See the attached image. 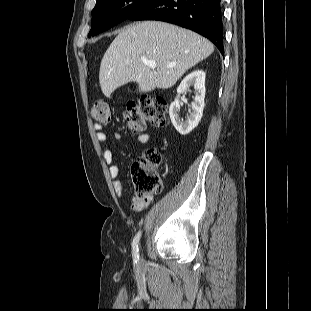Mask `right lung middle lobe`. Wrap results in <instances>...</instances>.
Masks as SVG:
<instances>
[{"mask_svg":"<svg viewBox=\"0 0 311 311\" xmlns=\"http://www.w3.org/2000/svg\"><path fill=\"white\" fill-rule=\"evenodd\" d=\"M155 0H97L92 10V28L88 34L94 36L128 19Z\"/></svg>","mask_w":311,"mask_h":311,"instance_id":"1","label":"right lung middle lobe"}]
</instances>
